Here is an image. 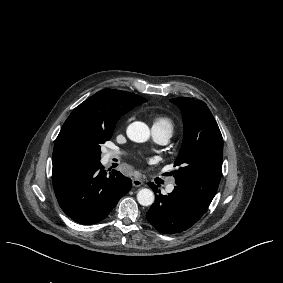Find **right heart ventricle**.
Returning <instances> with one entry per match:
<instances>
[{
    "label": "right heart ventricle",
    "instance_id": "right-heart-ventricle-1",
    "mask_svg": "<svg viewBox=\"0 0 283 283\" xmlns=\"http://www.w3.org/2000/svg\"><path fill=\"white\" fill-rule=\"evenodd\" d=\"M153 128H156L163 132H167L171 137L175 130V124L169 118L158 117L153 121Z\"/></svg>",
    "mask_w": 283,
    "mask_h": 283
}]
</instances>
